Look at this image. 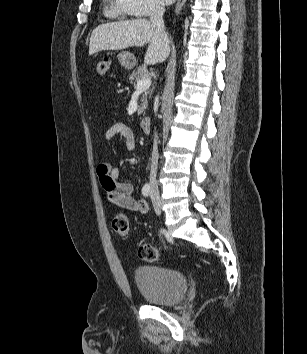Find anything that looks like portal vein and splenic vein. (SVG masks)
<instances>
[{"label": "portal vein and splenic vein", "mask_w": 307, "mask_h": 354, "mask_svg": "<svg viewBox=\"0 0 307 354\" xmlns=\"http://www.w3.org/2000/svg\"><path fill=\"white\" fill-rule=\"evenodd\" d=\"M150 86H151V79H149V78L141 79V80L137 81L136 92L146 91L147 89H149Z\"/></svg>", "instance_id": "obj_1"}]
</instances>
